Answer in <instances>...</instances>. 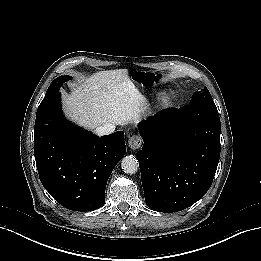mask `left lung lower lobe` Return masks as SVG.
<instances>
[{
	"mask_svg": "<svg viewBox=\"0 0 261 261\" xmlns=\"http://www.w3.org/2000/svg\"><path fill=\"white\" fill-rule=\"evenodd\" d=\"M217 109L189 105L140 122L137 152L145 202L159 212H177L210 188L220 157Z\"/></svg>",
	"mask_w": 261,
	"mask_h": 261,
	"instance_id": "obj_1",
	"label": "left lung lower lobe"
}]
</instances>
